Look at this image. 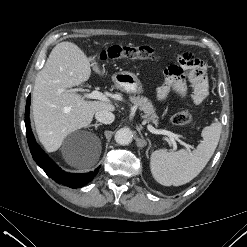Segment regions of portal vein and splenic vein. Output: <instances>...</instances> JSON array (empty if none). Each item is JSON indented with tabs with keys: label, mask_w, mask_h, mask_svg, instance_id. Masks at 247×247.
<instances>
[{
	"label": "portal vein and splenic vein",
	"mask_w": 247,
	"mask_h": 247,
	"mask_svg": "<svg viewBox=\"0 0 247 247\" xmlns=\"http://www.w3.org/2000/svg\"><path fill=\"white\" fill-rule=\"evenodd\" d=\"M79 90L76 89H72L71 92H78ZM84 96L87 99H98L100 101L103 102H108V98L106 95H104L102 92H99L97 90H93L91 93H84ZM148 130L153 133V134H158V135H166L169 137V139L171 140L172 144H173V149H176V142L175 139L178 140V138L180 137V135L178 134H174L170 131L164 130V129H155L152 125H147ZM186 148H193L191 145L185 144Z\"/></svg>",
	"instance_id": "obj_1"
}]
</instances>
